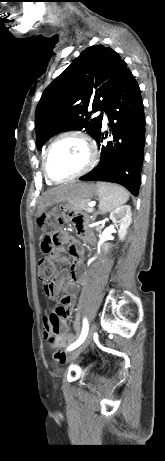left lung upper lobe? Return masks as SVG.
I'll use <instances>...</instances> for the list:
<instances>
[{
	"label": "left lung upper lobe",
	"mask_w": 165,
	"mask_h": 461,
	"mask_svg": "<svg viewBox=\"0 0 165 461\" xmlns=\"http://www.w3.org/2000/svg\"><path fill=\"white\" fill-rule=\"evenodd\" d=\"M127 64L110 47L94 45L52 81L35 112L38 148L52 136L68 130H82L94 139L99 134L102 114L94 119L92 112L105 110L126 70Z\"/></svg>",
	"instance_id": "obj_1"
}]
</instances>
